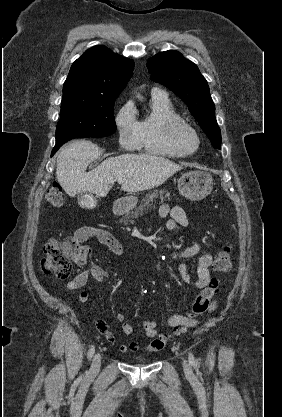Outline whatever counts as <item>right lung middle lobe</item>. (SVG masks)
I'll list each match as a JSON object with an SVG mask.
<instances>
[{"instance_id": "right-lung-middle-lobe-1", "label": "right lung middle lobe", "mask_w": 282, "mask_h": 417, "mask_svg": "<svg viewBox=\"0 0 282 417\" xmlns=\"http://www.w3.org/2000/svg\"><path fill=\"white\" fill-rule=\"evenodd\" d=\"M113 93L63 94L56 142L67 138L106 137L116 131Z\"/></svg>"}]
</instances>
